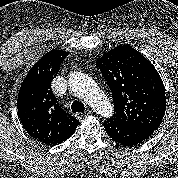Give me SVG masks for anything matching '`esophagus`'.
<instances>
[{
  "label": "esophagus",
  "instance_id": "1",
  "mask_svg": "<svg viewBox=\"0 0 178 178\" xmlns=\"http://www.w3.org/2000/svg\"><path fill=\"white\" fill-rule=\"evenodd\" d=\"M91 113V110L90 109H87L84 113H77L75 116L77 119H81L83 118L84 116H87Z\"/></svg>",
  "mask_w": 178,
  "mask_h": 178
}]
</instances>
